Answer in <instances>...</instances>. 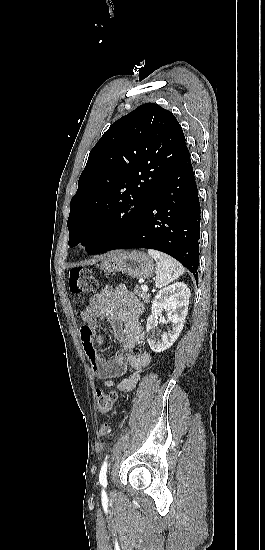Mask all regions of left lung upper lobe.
Masks as SVG:
<instances>
[{
  "label": "left lung upper lobe",
  "instance_id": "left-lung-upper-lobe-1",
  "mask_svg": "<svg viewBox=\"0 0 265 550\" xmlns=\"http://www.w3.org/2000/svg\"><path fill=\"white\" fill-rule=\"evenodd\" d=\"M188 151L174 115L146 103L114 122L90 151L71 200L69 245L95 254L127 233Z\"/></svg>",
  "mask_w": 265,
  "mask_h": 550
}]
</instances>
